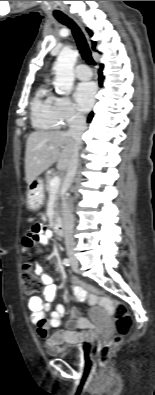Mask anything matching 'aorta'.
Returning a JSON list of instances; mask_svg holds the SVG:
<instances>
[{"instance_id":"obj_1","label":"aorta","mask_w":155,"mask_h":395,"mask_svg":"<svg viewBox=\"0 0 155 395\" xmlns=\"http://www.w3.org/2000/svg\"><path fill=\"white\" fill-rule=\"evenodd\" d=\"M77 60V51L64 47L59 53L54 64L55 81L54 86L58 94L67 95L72 91L74 83V65Z\"/></svg>"}]
</instances>
